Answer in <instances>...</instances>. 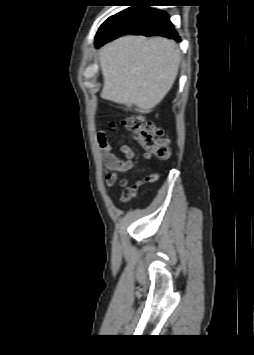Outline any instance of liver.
Instances as JSON below:
<instances>
[{"label": "liver", "mask_w": 254, "mask_h": 355, "mask_svg": "<svg viewBox=\"0 0 254 355\" xmlns=\"http://www.w3.org/2000/svg\"><path fill=\"white\" fill-rule=\"evenodd\" d=\"M181 54L172 40L124 36L99 51L103 99L149 113L173 86Z\"/></svg>", "instance_id": "liver-1"}]
</instances>
